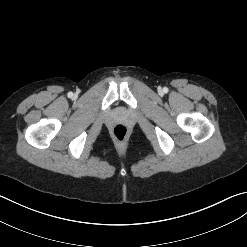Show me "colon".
Segmentation results:
<instances>
[{"instance_id":"obj_1","label":"colon","mask_w":247,"mask_h":247,"mask_svg":"<svg viewBox=\"0 0 247 247\" xmlns=\"http://www.w3.org/2000/svg\"><path fill=\"white\" fill-rule=\"evenodd\" d=\"M127 133L128 129L124 124H117L113 128V135L119 141H123L126 138Z\"/></svg>"}]
</instances>
